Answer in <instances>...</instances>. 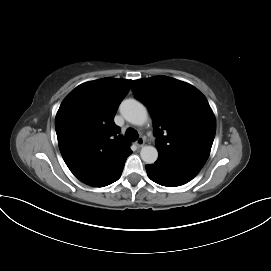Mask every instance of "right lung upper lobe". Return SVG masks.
Returning a JSON list of instances; mask_svg holds the SVG:
<instances>
[{
  "mask_svg": "<svg viewBox=\"0 0 271 271\" xmlns=\"http://www.w3.org/2000/svg\"><path fill=\"white\" fill-rule=\"evenodd\" d=\"M131 80L102 78L83 83L63 100L55 119L62 157L83 183L107 179L132 153L114 123Z\"/></svg>",
  "mask_w": 271,
  "mask_h": 271,
  "instance_id": "right-lung-upper-lobe-1",
  "label": "right lung upper lobe"
}]
</instances>
